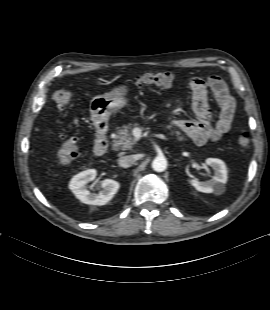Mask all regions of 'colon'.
Instances as JSON below:
<instances>
[{"instance_id":"obj_1","label":"colon","mask_w":270,"mask_h":310,"mask_svg":"<svg viewBox=\"0 0 270 310\" xmlns=\"http://www.w3.org/2000/svg\"><path fill=\"white\" fill-rule=\"evenodd\" d=\"M175 82V77L170 72H159V73H145L140 75L136 83L143 85H160L169 87ZM72 101V93L68 90H58L53 94V102L59 110L64 109ZM61 126V123H58ZM60 147L58 151V160L61 163H68L79 156L78 139L74 137H66L64 135L59 136ZM238 148L246 152L250 147V135L246 132L240 133L237 136Z\"/></svg>"}]
</instances>
